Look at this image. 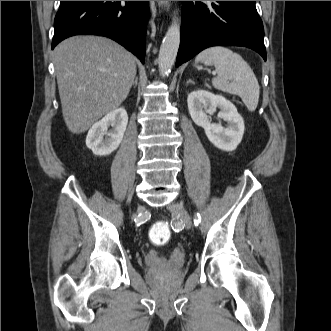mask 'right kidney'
Here are the masks:
<instances>
[{"label":"right kidney","instance_id":"obj_1","mask_svg":"<svg viewBox=\"0 0 331 331\" xmlns=\"http://www.w3.org/2000/svg\"><path fill=\"white\" fill-rule=\"evenodd\" d=\"M127 124L128 115L124 108L111 111L88 131L87 147L97 156L110 155L120 145Z\"/></svg>","mask_w":331,"mask_h":331}]
</instances>
